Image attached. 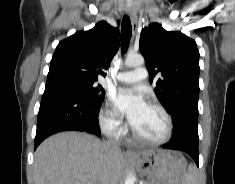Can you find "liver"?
I'll return each mask as SVG.
<instances>
[{"label":"liver","mask_w":235,"mask_h":184,"mask_svg":"<svg viewBox=\"0 0 235 184\" xmlns=\"http://www.w3.org/2000/svg\"><path fill=\"white\" fill-rule=\"evenodd\" d=\"M123 168L122 152L82 132L54 134L34 156L35 184H116Z\"/></svg>","instance_id":"obj_1"}]
</instances>
